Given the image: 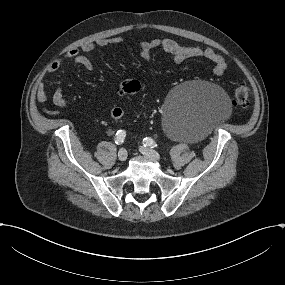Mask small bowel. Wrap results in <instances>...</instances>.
I'll use <instances>...</instances> for the list:
<instances>
[{
    "label": "small bowel",
    "instance_id": "small-bowel-1",
    "mask_svg": "<svg viewBox=\"0 0 285 285\" xmlns=\"http://www.w3.org/2000/svg\"><path fill=\"white\" fill-rule=\"evenodd\" d=\"M124 43L121 37L100 38L95 42L84 43L79 48H73L66 52L64 57L60 60L52 62L48 66V72H55L59 69L64 60H72L76 64L83 66L87 71L93 70L92 61L84 53L94 51L96 48H105L112 45H122ZM140 55L145 61H150L151 54L154 50L160 49L172 56L177 63L183 62L190 58L204 57L214 64L213 73L216 76H222L227 69V62L225 58L211 47H201L199 45H182L172 39H152L143 40L139 43ZM37 99L40 102H46L48 95L42 83L37 88ZM52 102L60 109L67 106V102L63 95V88L58 85L52 95Z\"/></svg>",
    "mask_w": 285,
    "mask_h": 285
}]
</instances>
